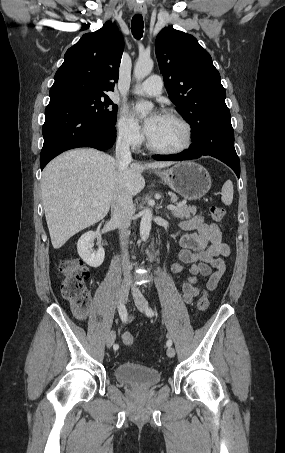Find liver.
I'll return each instance as SVG.
<instances>
[{"instance_id":"liver-1","label":"liver","mask_w":285,"mask_h":453,"mask_svg":"<svg viewBox=\"0 0 285 453\" xmlns=\"http://www.w3.org/2000/svg\"><path fill=\"white\" fill-rule=\"evenodd\" d=\"M173 162L122 166L112 156L92 148L67 151L43 170L41 191L52 246L61 248L79 231L109 212L117 191L136 195L145 187L142 172Z\"/></svg>"}]
</instances>
